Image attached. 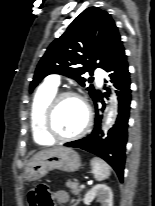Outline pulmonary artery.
<instances>
[{
  "label": "pulmonary artery",
  "mask_w": 155,
  "mask_h": 206,
  "mask_svg": "<svg viewBox=\"0 0 155 206\" xmlns=\"http://www.w3.org/2000/svg\"><path fill=\"white\" fill-rule=\"evenodd\" d=\"M97 78H98L99 83H102L103 72L101 70L97 71ZM47 82L52 86L58 87L60 84V77L58 75L50 76L48 77Z\"/></svg>",
  "instance_id": "pulmonary-artery-1"
}]
</instances>
